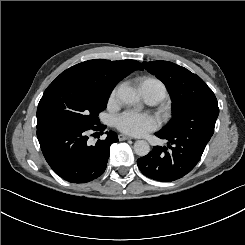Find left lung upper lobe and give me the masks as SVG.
Returning <instances> with one entry per match:
<instances>
[{
    "label": "left lung upper lobe",
    "instance_id": "obj_1",
    "mask_svg": "<svg viewBox=\"0 0 245 245\" xmlns=\"http://www.w3.org/2000/svg\"><path fill=\"white\" fill-rule=\"evenodd\" d=\"M148 72L166 86L172 100L173 119L161 130L164 133L184 129L190 122L219 114L217 99L206 83L189 70L168 61L143 62Z\"/></svg>",
    "mask_w": 245,
    "mask_h": 245
}]
</instances>
